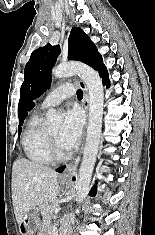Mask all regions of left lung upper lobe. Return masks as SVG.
<instances>
[{
	"instance_id": "left-lung-upper-lobe-1",
	"label": "left lung upper lobe",
	"mask_w": 155,
	"mask_h": 235,
	"mask_svg": "<svg viewBox=\"0 0 155 235\" xmlns=\"http://www.w3.org/2000/svg\"><path fill=\"white\" fill-rule=\"evenodd\" d=\"M60 53L59 46L47 44L32 52L24 70V82L20 90L19 133L31 100L42 95L51 83V70ZM68 57L86 63L95 70L105 65L95 44L81 28L73 27L69 36Z\"/></svg>"
}]
</instances>
